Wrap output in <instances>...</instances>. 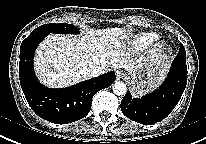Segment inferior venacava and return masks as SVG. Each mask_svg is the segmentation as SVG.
Returning a JSON list of instances; mask_svg holds the SVG:
<instances>
[{
    "mask_svg": "<svg viewBox=\"0 0 206 144\" xmlns=\"http://www.w3.org/2000/svg\"><path fill=\"white\" fill-rule=\"evenodd\" d=\"M103 72H104V71H103V67H101V66H96V65L84 69V74H85L88 78L97 77V76L101 75Z\"/></svg>",
    "mask_w": 206,
    "mask_h": 144,
    "instance_id": "inferior-vena-cava-1",
    "label": "inferior vena cava"
}]
</instances>
